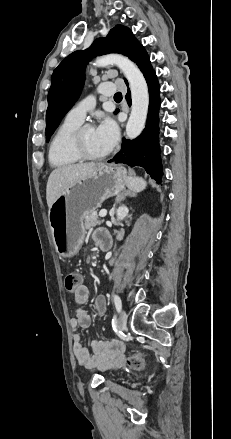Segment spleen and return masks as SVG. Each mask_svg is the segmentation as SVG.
Listing matches in <instances>:
<instances>
[{"label":"spleen","instance_id":"spleen-1","mask_svg":"<svg viewBox=\"0 0 231 439\" xmlns=\"http://www.w3.org/2000/svg\"><path fill=\"white\" fill-rule=\"evenodd\" d=\"M126 185L133 192H141L146 188V182L141 177L129 176L126 181Z\"/></svg>","mask_w":231,"mask_h":439}]
</instances>
